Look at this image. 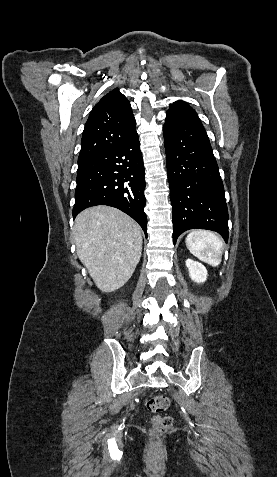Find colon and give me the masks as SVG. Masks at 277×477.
<instances>
[{
	"instance_id": "colon-1",
	"label": "colon",
	"mask_w": 277,
	"mask_h": 477,
	"mask_svg": "<svg viewBox=\"0 0 277 477\" xmlns=\"http://www.w3.org/2000/svg\"><path fill=\"white\" fill-rule=\"evenodd\" d=\"M169 404V398L164 395L154 396L146 403L147 410L153 414L151 418V431L155 436L164 434L172 426V418L161 414L169 407Z\"/></svg>"
}]
</instances>
